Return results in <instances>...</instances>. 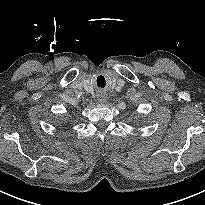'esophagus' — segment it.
<instances>
[{"label":"esophagus","instance_id":"34e87169","mask_svg":"<svg viewBox=\"0 0 205 205\" xmlns=\"http://www.w3.org/2000/svg\"><path fill=\"white\" fill-rule=\"evenodd\" d=\"M105 98H102V99H99V102L101 103V104H103V103H105Z\"/></svg>","mask_w":205,"mask_h":205}]
</instances>
